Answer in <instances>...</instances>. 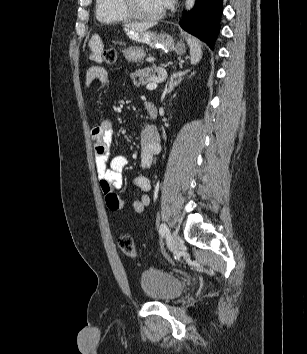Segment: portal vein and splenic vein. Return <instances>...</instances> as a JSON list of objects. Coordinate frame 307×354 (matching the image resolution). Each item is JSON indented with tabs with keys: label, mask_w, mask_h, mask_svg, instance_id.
Listing matches in <instances>:
<instances>
[{
	"label": "portal vein and splenic vein",
	"mask_w": 307,
	"mask_h": 354,
	"mask_svg": "<svg viewBox=\"0 0 307 354\" xmlns=\"http://www.w3.org/2000/svg\"><path fill=\"white\" fill-rule=\"evenodd\" d=\"M164 78H165V75H164V76L162 75V77L154 78V79L152 80V82H150V83L147 84L146 88H147L148 90H154V89H156V88H157V83L161 82Z\"/></svg>",
	"instance_id": "18ae733b"
}]
</instances>
